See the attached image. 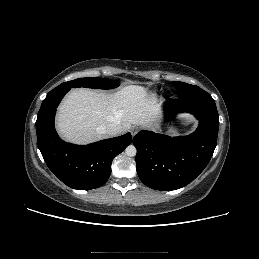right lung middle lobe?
<instances>
[{
  "label": "right lung middle lobe",
  "mask_w": 259,
  "mask_h": 259,
  "mask_svg": "<svg viewBox=\"0 0 259 259\" xmlns=\"http://www.w3.org/2000/svg\"><path fill=\"white\" fill-rule=\"evenodd\" d=\"M119 85V83L115 80L106 79V78H78L72 81L64 82L61 85L54 88L52 91L59 89H71L78 87H87V88H97V89H111L115 88Z\"/></svg>",
  "instance_id": "right-lung-middle-lobe-1"
}]
</instances>
